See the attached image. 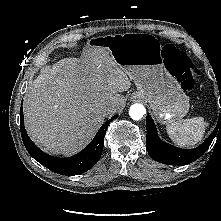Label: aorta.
Returning a JSON list of instances; mask_svg holds the SVG:
<instances>
[{
    "mask_svg": "<svg viewBox=\"0 0 221 221\" xmlns=\"http://www.w3.org/2000/svg\"><path fill=\"white\" fill-rule=\"evenodd\" d=\"M146 114V109L142 104H133L130 107L129 115L133 120H140Z\"/></svg>",
    "mask_w": 221,
    "mask_h": 221,
    "instance_id": "762f6f07",
    "label": "aorta"
}]
</instances>
